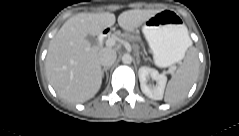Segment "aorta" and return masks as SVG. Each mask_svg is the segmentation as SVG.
<instances>
[{
	"instance_id": "762f6f07",
	"label": "aorta",
	"mask_w": 239,
	"mask_h": 136,
	"mask_svg": "<svg viewBox=\"0 0 239 136\" xmlns=\"http://www.w3.org/2000/svg\"><path fill=\"white\" fill-rule=\"evenodd\" d=\"M132 57H131V55L130 54H124L123 56H122V62L124 63V64H131V62H132Z\"/></svg>"
}]
</instances>
